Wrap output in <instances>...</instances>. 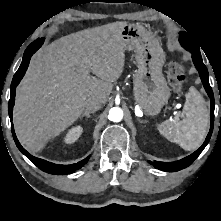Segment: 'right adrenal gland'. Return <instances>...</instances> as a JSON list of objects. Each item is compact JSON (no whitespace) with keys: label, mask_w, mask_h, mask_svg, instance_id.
I'll return each instance as SVG.
<instances>
[{"label":"right adrenal gland","mask_w":221,"mask_h":221,"mask_svg":"<svg viewBox=\"0 0 221 221\" xmlns=\"http://www.w3.org/2000/svg\"><path fill=\"white\" fill-rule=\"evenodd\" d=\"M90 114H94V111L86 110L82 113V115L80 116V119H82L83 117L90 118Z\"/></svg>","instance_id":"obj_1"}]
</instances>
